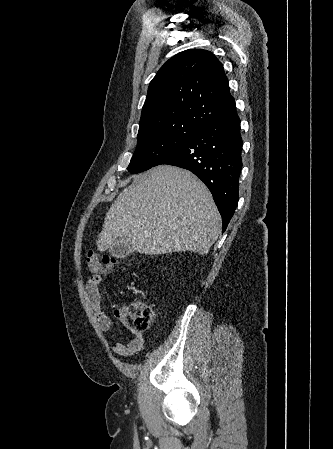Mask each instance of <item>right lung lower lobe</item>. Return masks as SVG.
Returning a JSON list of instances; mask_svg holds the SVG:
<instances>
[{
    "label": "right lung lower lobe",
    "mask_w": 333,
    "mask_h": 449,
    "mask_svg": "<svg viewBox=\"0 0 333 449\" xmlns=\"http://www.w3.org/2000/svg\"><path fill=\"white\" fill-rule=\"evenodd\" d=\"M241 152L240 119L235 108L201 127L157 165L185 168L200 178L213 195L222 217L224 232L239 198Z\"/></svg>",
    "instance_id": "obj_1"
}]
</instances>
